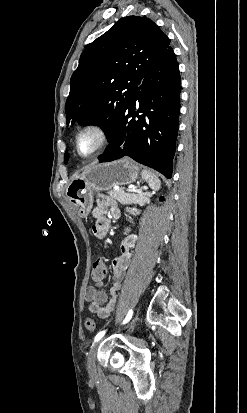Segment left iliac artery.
<instances>
[{"mask_svg":"<svg viewBox=\"0 0 247 413\" xmlns=\"http://www.w3.org/2000/svg\"><path fill=\"white\" fill-rule=\"evenodd\" d=\"M132 315H133V310L130 309V310L128 311V314H127V316L125 317V319H124V321H123L122 324H126L127 322H129L130 319L132 318ZM105 333H106L105 330L99 332V333L95 336L94 342H98V341L105 335Z\"/></svg>","mask_w":247,"mask_h":413,"instance_id":"1","label":"left iliac artery"}]
</instances>
